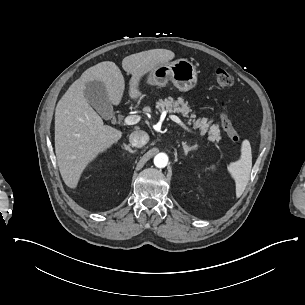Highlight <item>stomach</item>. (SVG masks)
I'll list each match as a JSON object with an SVG mask.
<instances>
[{
  "label": "stomach",
  "instance_id": "1",
  "mask_svg": "<svg viewBox=\"0 0 305 305\" xmlns=\"http://www.w3.org/2000/svg\"><path fill=\"white\" fill-rule=\"evenodd\" d=\"M168 80L180 91H188L197 83L196 67L184 58L161 63L150 72L147 83L164 87Z\"/></svg>",
  "mask_w": 305,
  "mask_h": 305
}]
</instances>
